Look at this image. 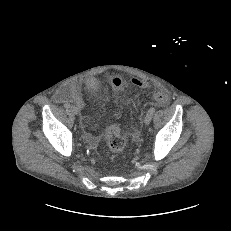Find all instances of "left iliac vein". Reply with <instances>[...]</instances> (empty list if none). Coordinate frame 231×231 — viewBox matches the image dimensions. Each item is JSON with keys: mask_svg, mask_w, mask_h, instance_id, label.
<instances>
[{"mask_svg": "<svg viewBox=\"0 0 231 231\" xmlns=\"http://www.w3.org/2000/svg\"><path fill=\"white\" fill-rule=\"evenodd\" d=\"M151 120H152V114L147 113L146 116H145V118H144V124L145 125H149L150 122H151Z\"/></svg>", "mask_w": 231, "mask_h": 231, "instance_id": "obj_1", "label": "left iliac vein"}]
</instances>
